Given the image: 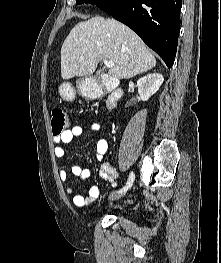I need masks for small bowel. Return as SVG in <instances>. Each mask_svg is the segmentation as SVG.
Segmentation results:
<instances>
[{
  "label": "small bowel",
  "mask_w": 221,
  "mask_h": 263,
  "mask_svg": "<svg viewBox=\"0 0 221 263\" xmlns=\"http://www.w3.org/2000/svg\"><path fill=\"white\" fill-rule=\"evenodd\" d=\"M91 132L94 134H100L102 131V125L100 123H93L90 126ZM83 130L81 126H73L72 128L64 131V133L60 136H56L53 138L54 147V155L57 158H63L65 156V149L62 145H66L72 142L74 138L81 136ZM108 149V143L104 139H99L94 147L93 154L95 158L102 162L104 155L106 154ZM72 173L79 177L80 179H86L90 176V170L88 168H84L80 165H73ZM99 176L102 179L109 180L113 186H115V180L119 177L118 172L113 168V166L109 163L102 162L101 168L99 171ZM59 177L63 182H67L69 178V174L66 170L61 169L59 171ZM65 191L69 195H73V203L77 207H86L95 202L100 196V188L98 185L90 186L88 193L86 195H81L76 192V188L73 184L67 183L65 186Z\"/></svg>",
  "instance_id": "small-bowel-1"
}]
</instances>
